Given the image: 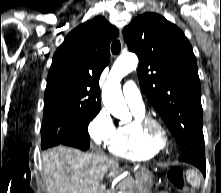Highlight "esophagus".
I'll return each instance as SVG.
<instances>
[{
    "instance_id": "34e87169",
    "label": "esophagus",
    "mask_w": 221,
    "mask_h": 193,
    "mask_svg": "<svg viewBox=\"0 0 221 193\" xmlns=\"http://www.w3.org/2000/svg\"><path fill=\"white\" fill-rule=\"evenodd\" d=\"M119 40L121 42V44L123 43V34H122V30H120V33H119Z\"/></svg>"
}]
</instances>
